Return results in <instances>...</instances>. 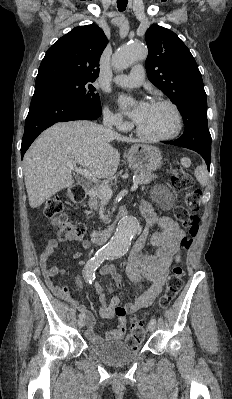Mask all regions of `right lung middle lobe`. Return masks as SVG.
<instances>
[{
	"mask_svg": "<svg viewBox=\"0 0 232 399\" xmlns=\"http://www.w3.org/2000/svg\"><path fill=\"white\" fill-rule=\"evenodd\" d=\"M93 81H84L79 79L57 77L42 80L35 84V87L49 86L59 89L84 105L95 110L101 111L100 98L96 89L91 84Z\"/></svg>",
	"mask_w": 232,
	"mask_h": 399,
	"instance_id": "dd1d6c3e",
	"label": "right lung middle lobe"
}]
</instances>
